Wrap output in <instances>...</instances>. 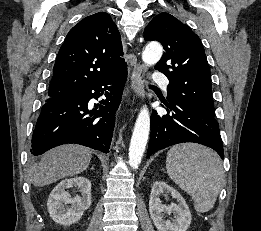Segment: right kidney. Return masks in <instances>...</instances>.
Here are the masks:
<instances>
[{"label": "right kidney", "instance_id": "obj_1", "mask_svg": "<svg viewBox=\"0 0 261 231\" xmlns=\"http://www.w3.org/2000/svg\"><path fill=\"white\" fill-rule=\"evenodd\" d=\"M73 186L82 193V196L71 198L66 189ZM91 203V182L80 176L62 180L50 193L47 208L54 222L71 225L80 220Z\"/></svg>", "mask_w": 261, "mask_h": 231}]
</instances>
